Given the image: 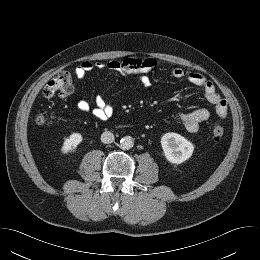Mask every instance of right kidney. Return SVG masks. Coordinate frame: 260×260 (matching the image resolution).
I'll return each mask as SVG.
<instances>
[{
  "instance_id": "obj_1",
  "label": "right kidney",
  "mask_w": 260,
  "mask_h": 260,
  "mask_svg": "<svg viewBox=\"0 0 260 260\" xmlns=\"http://www.w3.org/2000/svg\"><path fill=\"white\" fill-rule=\"evenodd\" d=\"M83 140L80 133H72L69 137L64 140L61 152L67 154L68 152L75 149Z\"/></svg>"
}]
</instances>
